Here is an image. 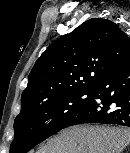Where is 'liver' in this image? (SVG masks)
<instances>
[{
    "instance_id": "liver-1",
    "label": "liver",
    "mask_w": 130,
    "mask_h": 153,
    "mask_svg": "<svg viewBox=\"0 0 130 153\" xmlns=\"http://www.w3.org/2000/svg\"><path fill=\"white\" fill-rule=\"evenodd\" d=\"M130 144V129L75 125L50 138L37 153H121Z\"/></svg>"
}]
</instances>
